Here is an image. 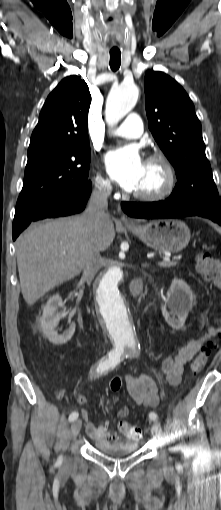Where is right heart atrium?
Wrapping results in <instances>:
<instances>
[{
    "label": "right heart atrium",
    "instance_id": "right-heart-atrium-1",
    "mask_svg": "<svg viewBox=\"0 0 221 510\" xmlns=\"http://www.w3.org/2000/svg\"><path fill=\"white\" fill-rule=\"evenodd\" d=\"M96 188L103 194L107 195L112 189L111 180L109 177L98 173L95 179Z\"/></svg>",
    "mask_w": 221,
    "mask_h": 510
}]
</instances>
